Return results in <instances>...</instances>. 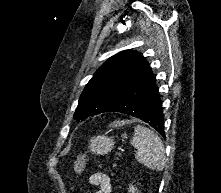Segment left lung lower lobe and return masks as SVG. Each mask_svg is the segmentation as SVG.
<instances>
[{"instance_id": "left-lung-lower-lobe-1", "label": "left lung lower lobe", "mask_w": 221, "mask_h": 193, "mask_svg": "<svg viewBox=\"0 0 221 193\" xmlns=\"http://www.w3.org/2000/svg\"><path fill=\"white\" fill-rule=\"evenodd\" d=\"M104 112H120L139 118L165 138L162 101L151 69L126 87Z\"/></svg>"}]
</instances>
